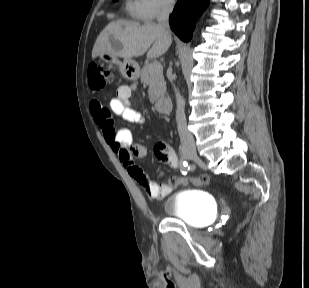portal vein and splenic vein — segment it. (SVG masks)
<instances>
[{
	"mask_svg": "<svg viewBox=\"0 0 309 288\" xmlns=\"http://www.w3.org/2000/svg\"><path fill=\"white\" fill-rule=\"evenodd\" d=\"M161 68H162L161 64L157 61L153 62L152 65H151L152 70H157V69H161Z\"/></svg>",
	"mask_w": 309,
	"mask_h": 288,
	"instance_id": "obj_1",
	"label": "portal vein and splenic vein"
}]
</instances>
